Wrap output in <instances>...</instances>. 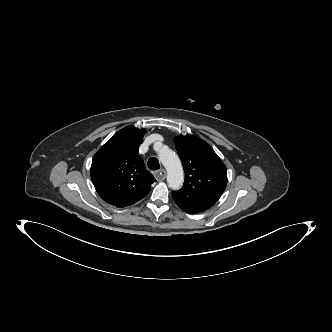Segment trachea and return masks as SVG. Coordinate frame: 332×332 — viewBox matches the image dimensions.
Masks as SVG:
<instances>
[{
    "instance_id": "obj_1",
    "label": "trachea",
    "mask_w": 332,
    "mask_h": 332,
    "mask_svg": "<svg viewBox=\"0 0 332 332\" xmlns=\"http://www.w3.org/2000/svg\"><path fill=\"white\" fill-rule=\"evenodd\" d=\"M148 168L151 170H158L160 169V164L157 158L155 157H151L149 158L148 162H147Z\"/></svg>"
}]
</instances>
